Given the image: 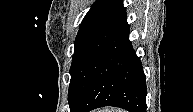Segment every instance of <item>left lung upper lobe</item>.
Segmentation results:
<instances>
[{
	"mask_svg": "<svg viewBox=\"0 0 193 112\" xmlns=\"http://www.w3.org/2000/svg\"><path fill=\"white\" fill-rule=\"evenodd\" d=\"M125 8L122 0H97L85 15L75 39L70 73L85 46Z\"/></svg>",
	"mask_w": 193,
	"mask_h": 112,
	"instance_id": "left-lung-upper-lobe-1",
	"label": "left lung upper lobe"
}]
</instances>
